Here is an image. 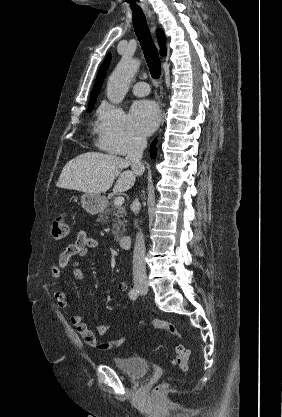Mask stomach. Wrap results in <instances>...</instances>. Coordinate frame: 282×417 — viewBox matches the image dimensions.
Listing matches in <instances>:
<instances>
[{"label":"stomach","mask_w":282,"mask_h":417,"mask_svg":"<svg viewBox=\"0 0 282 417\" xmlns=\"http://www.w3.org/2000/svg\"><path fill=\"white\" fill-rule=\"evenodd\" d=\"M81 204L90 215H98L106 209L107 198L102 196L100 192H84L81 196Z\"/></svg>","instance_id":"obj_1"}]
</instances>
